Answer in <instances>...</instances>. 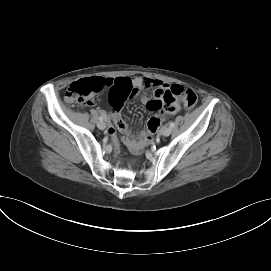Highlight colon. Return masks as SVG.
<instances>
[{"label":"colon","mask_w":271,"mask_h":271,"mask_svg":"<svg viewBox=\"0 0 271 271\" xmlns=\"http://www.w3.org/2000/svg\"><path fill=\"white\" fill-rule=\"evenodd\" d=\"M105 83L106 81L99 77L73 82L66 90L65 100L68 103L91 105L93 103V97L105 88ZM161 97L164 106L167 108L172 107L174 104L181 103L186 109H192L197 103V95L195 92L180 85H172L162 93ZM159 125L160 120L151 118L147 123V131L136 146L141 147L149 144L151 134L158 129Z\"/></svg>","instance_id":"colon-1"}]
</instances>
